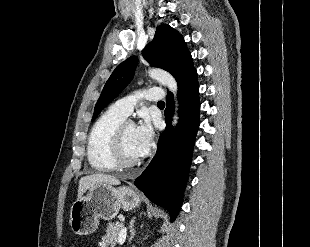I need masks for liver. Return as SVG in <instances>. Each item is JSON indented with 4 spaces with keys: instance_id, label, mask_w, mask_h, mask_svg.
<instances>
[{
    "instance_id": "6515ba94",
    "label": "liver",
    "mask_w": 310,
    "mask_h": 247,
    "mask_svg": "<svg viewBox=\"0 0 310 247\" xmlns=\"http://www.w3.org/2000/svg\"><path fill=\"white\" fill-rule=\"evenodd\" d=\"M97 184L119 185L120 180L115 176L102 173L84 176L79 180L78 198H81L87 190Z\"/></svg>"
}]
</instances>
